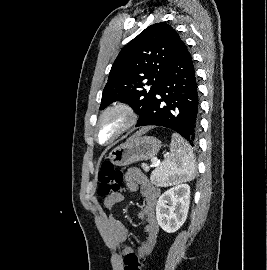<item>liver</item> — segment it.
I'll return each mask as SVG.
<instances>
[{
  "label": "liver",
  "mask_w": 267,
  "mask_h": 270,
  "mask_svg": "<svg viewBox=\"0 0 267 270\" xmlns=\"http://www.w3.org/2000/svg\"><path fill=\"white\" fill-rule=\"evenodd\" d=\"M150 128H143L141 130H139L132 138H136L141 136L142 134H144L145 132H147Z\"/></svg>",
  "instance_id": "obj_1"
}]
</instances>
